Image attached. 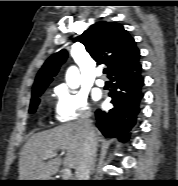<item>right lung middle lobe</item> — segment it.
Here are the masks:
<instances>
[{
    "label": "right lung middle lobe",
    "instance_id": "1",
    "mask_svg": "<svg viewBox=\"0 0 178 186\" xmlns=\"http://www.w3.org/2000/svg\"><path fill=\"white\" fill-rule=\"evenodd\" d=\"M43 90H40L38 92H36L35 94L32 95V99H31V103H30V109H29V113H34L36 111V108L40 102V96L43 93Z\"/></svg>",
    "mask_w": 178,
    "mask_h": 186
}]
</instances>
